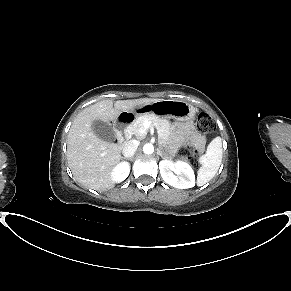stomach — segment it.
Segmentation results:
<instances>
[{"label":"stomach","mask_w":291,"mask_h":291,"mask_svg":"<svg viewBox=\"0 0 291 291\" xmlns=\"http://www.w3.org/2000/svg\"><path fill=\"white\" fill-rule=\"evenodd\" d=\"M134 116L153 114L158 117L173 118L181 121H192L196 111L193 106L182 100L160 99L152 103L135 107L128 112Z\"/></svg>","instance_id":"stomach-1"}]
</instances>
